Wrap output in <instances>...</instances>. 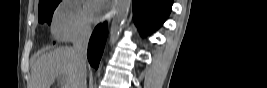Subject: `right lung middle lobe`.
<instances>
[{
	"mask_svg": "<svg viewBox=\"0 0 267 88\" xmlns=\"http://www.w3.org/2000/svg\"><path fill=\"white\" fill-rule=\"evenodd\" d=\"M61 0H43L39 2V22L51 23L52 15Z\"/></svg>",
	"mask_w": 267,
	"mask_h": 88,
	"instance_id": "dd1d6c3e",
	"label": "right lung middle lobe"
}]
</instances>
